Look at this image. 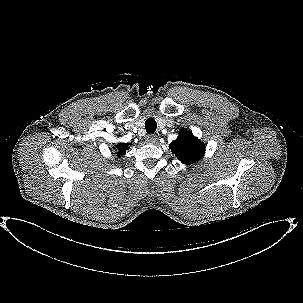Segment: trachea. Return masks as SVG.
I'll return each mask as SVG.
<instances>
[{
	"label": "trachea",
	"mask_w": 303,
	"mask_h": 303,
	"mask_svg": "<svg viewBox=\"0 0 303 303\" xmlns=\"http://www.w3.org/2000/svg\"><path fill=\"white\" fill-rule=\"evenodd\" d=\"M157 128V123L153 118H148L145 122V129L148 134H152L155 132Z\"/></svg>",
	"instance_id": "3493384b"
}]
</instances>
